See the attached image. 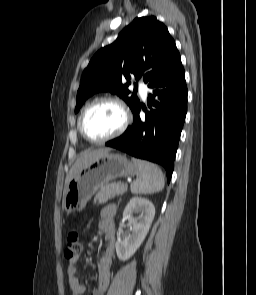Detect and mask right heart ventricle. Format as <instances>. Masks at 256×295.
Listing matches in <instances>:
<instances>
[{
	"instance_id": "e07e8e85",
	"label": "right heart ventricle",
	"mask_w": 256,
	"mask_h": 295,
	"mask_svg": "<svg viewBox=\"0 0 256 295\" xmlns=\"http://www.w3.org/2000/svg\"><path fill=\"white\" fill-rule=\"evenodd\" d=\"M80 120H81V118H80ZM79 130H80V121H79Z\"/></svg>"
}]
</instances>
